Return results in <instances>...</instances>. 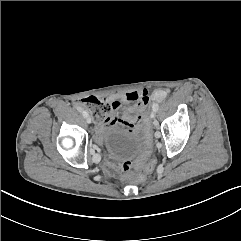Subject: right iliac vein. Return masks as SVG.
Returning <instances> with one entry per match:
<instances>
[{"instance_id":"right-iliac-vein-1","label":"right iliac vein","mask_w":241,"mask_h":241,"mask_svg":"<svg viewBox=\"0 0 241 241\" xmlns=\"http://www.w3.org/2000/svg\"><path fill=\"white\" fill-rule=\"evenodd\" d=\"M86 121H87L88 124H90V123H91V118H90L89 116H87V117H86ZM94 157L96 158V157H98V156L95 155Z\"/></svg>"}]
</instances>
